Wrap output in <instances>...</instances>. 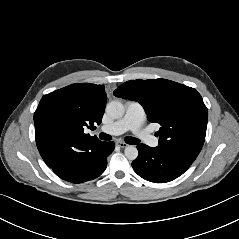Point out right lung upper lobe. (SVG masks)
<instances>
[{"label": "right lung upper lobe", "mask_w": 239, "mask_h": 239, "mask_svg": "<svg viewBox=\"0 0 239 239\" xmlns=\"http://www.w3.org/2000/svg\"><path fill=\"white\" fill-rule=\"evenodd\" d=\"M107 95L103 85L76 83L44 95L34 113L35 138L41 157L51 166L69 147L100 140L84 133L100 124Z\"/></svg>", "instance_id": "right-lung-upper-lobe-1"}]
</instances>
